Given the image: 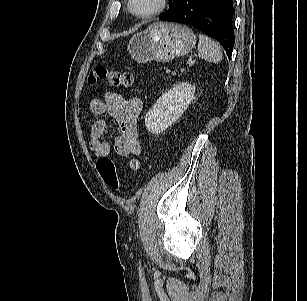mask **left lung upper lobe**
<instances>
[{
    "label": "left lung upper lobe",
    "mask_w": 307,
    "mask_h": 301,
    "mask_svg": "<svg viewBox=\"0 0 307 301\" xmlns=\"http://www.w3.org/2000/svg\"><path fill=\"white\" fill-rule=\"evenodd\" d=\"M180 1L181 0H169V9L165 13L172 11Z\"/></svg>",
    "instance_id": "left-lung-upper-lobe-1"
}]
</instances>
